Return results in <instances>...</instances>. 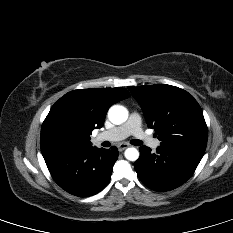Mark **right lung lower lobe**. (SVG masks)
Here are the masks:
<instances>
[{
    "label": "right lung lower lobe",
    "instance_id": "obj_1",
    "mask_svg": "<svg viewBox=\"0 0 233 233\" xmlns=\"http://www.w3.org/2000/svg\"><path fill=\"white\" fill-rule=\"evenodd\" d=\"M55 182L65 191L79 197L100 192L110 181L112 168L118 158L117 148L105 150L56 148L42 151Z\"/></svg>",
    "mask_w": 233,
    "mask_h": 233
}]
</instances>
